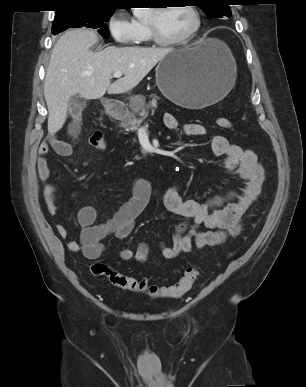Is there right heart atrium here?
<instances>
[{
    "instance_id": "right-heart-atrium-1",
    "label": "right heart atrium",
    "mask_w": 306,
    "mask_h": 387,
    "mask_svg": "<svg viewBox=\"0 0 306 387\" xmlns=\"http://www.w3.org/2000/svg\"><path fill=\"white\" fill-rule=\"evenodd\" d=\"M107 27L110 35L118 44H131L136 39L137 31L134 22L122 13L112 14L108 19Z\"/></svg>"
}]
</instances>
